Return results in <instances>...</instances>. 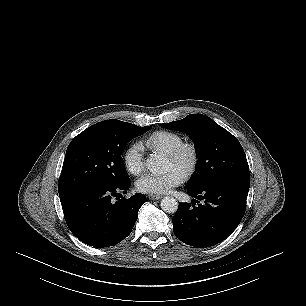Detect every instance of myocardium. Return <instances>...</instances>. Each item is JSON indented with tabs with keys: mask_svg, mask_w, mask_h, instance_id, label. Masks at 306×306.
Here are the masks:
<instances>
[{
	"mask_svg": "<svg viewBox=\"0 0 306 306\" xmlns=\"http://www.w3.org/2000/svg\"><path fill=\"white\" fill-rule=\"evenodd\" d=\"M167 157L176 163H182L184 159H188L182 173L184 178H190L196 172L200 162L199 150L193 142H183L168 153Z\"/></svg>",
	"mask_w": 306,
	"mask_h": 306,
	"instance_id": "1",
	"label": "myocardium"
}]
</instances>
